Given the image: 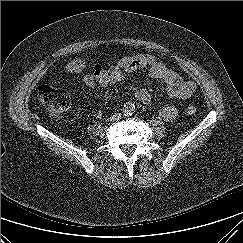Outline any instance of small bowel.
Wrapping results in <instances>:
<instances>
[{"instance_id": "small-bowel-1", "label": "small bowel", "mask_w": 243, "mask_h": 243, "mask_svg": "<svg viewBox=\"0 0 243 243\" xmlns=\"http://www.w3.org/2000/svg\"><path fill=\"white\" fill-rule=\"evenodd\" d=\"M140 69H148L149 75L165 83L166 95L173 100H184L191 97L196 91L193 81L183 79L176 71L164 62L150 54L138 53L128 55L109 67L95 65L93 72L83 76V84L92 89L96 86L107 87L121 81L125 74ZM135 98L148 104L151 102V94L146 89H139ZM161 117L168 123H174L177 119V110L171 105H164L160 110Z\"/></svg>"}]
</instances>
